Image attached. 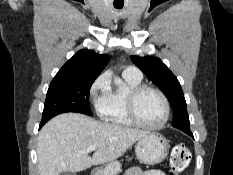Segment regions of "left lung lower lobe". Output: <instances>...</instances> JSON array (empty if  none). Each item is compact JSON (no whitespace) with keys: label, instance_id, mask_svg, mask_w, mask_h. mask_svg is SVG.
<instances>
[{"label":"left lung lower lobe","instance_id":"obj_1","mask_svg":"<svg viewBox=\"0 0 233 175\" xmlns=\"http://www.w3.org/2000/svg\"><path fill=\"white\" fill-rule=\"evenodd\" d=\"M188 135L192 136L193 137V134L192 133H188Z\"/></svg>","mask_w":233,"mask_h":175}]
</instances>
